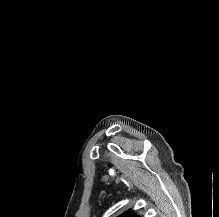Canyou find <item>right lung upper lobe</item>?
Instances as JSON below:
<instances>
[{
    "instance_id": "1",
    "label": "right lung upper lobe",
    "mask_w": 219,
    "mask_h": 217,
    "mask_svg": "<svg viewBox=\"0 0 219 217\" xmlns=\"http://www.w3.org/2000/svg\"><path fill=\"white\" fill-rule=\"evenodd\" d=\"M119 217H136V216L133 215V213H131V212H126V213L120 215Z\"/></svg>"
}]
</instances>
